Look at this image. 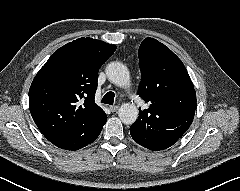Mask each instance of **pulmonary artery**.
Masks as SVG:
<instances>
[{"label":"pulmonary artery","mask_w":240,"mask_h":191,"mask_svg":"<svg viewBox=\"0 0 240 191\" xmlns=\"http://www.w3.org/2000/svg\"><path fill=\"white\" fill-rule=\"evenodd\" d=\"M139 102H140V100L139 99H137L136 101H135V104H139Z\"/></svg>","instance_id":"1"}]
</instances>
